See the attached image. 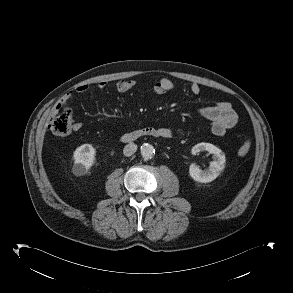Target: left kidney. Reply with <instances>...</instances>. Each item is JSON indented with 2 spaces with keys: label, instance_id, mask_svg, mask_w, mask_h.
Here are the masks:
<instances>
[{
  "label": "left kidney",
  "instance_id": "obj_1",
  "mask_svg": "<svg viewBox=\"0 0 293 293\" xmlns=\"http://www.w3.org/2000/svg\"><path fill=\"white\" fill-rule=\"evenodd\" d=\"M202 151H208L213 156V161L210 162L208 169L201 170L195 164L190 165V177L197 182L209 183L215 180L225 167V154L221 149L210 143H199L192 148V154L195 155Z\"/></svg>",
  "mask_w": 293,
  "mask_h": 293
}]
</instances>
